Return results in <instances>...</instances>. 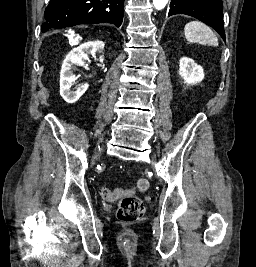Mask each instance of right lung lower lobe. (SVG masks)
Listing matches in <instances>:
<instances>
[{"label":"right lung lower lobe","instance_id":"1","mask_svg":"<svg viewBox=\"0 0 256 267\" xmlns=\"http://www.w3.org/2000/svg\"><path fill=\"white\" fill-rule=\"evenodd\" d=\"M124 0H50L41 31L77 24L112 23L120 26Z\"/></svg>","mask_w":256,"mask_h":267}]
</instances>
